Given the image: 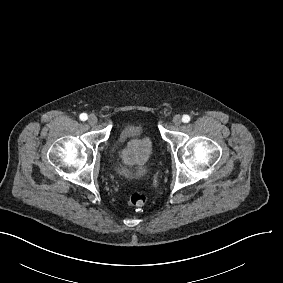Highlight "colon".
<instances>
[{
	"mask_svg": "<svg viewBox=\"0 0 283 283\" xmlns=\"http://www.w3.org/2000/svg\"><path fill=\"white\" fill-rule=\"evenodd\" d=\"M147 203V198L144 194L136 192L130 195V204L135 208H143Z\"/></svg>",
	"mask_w": 283,
	"mask_h": 283,
	"instance_id": "colon-1",
	"label": "colon"
}]
</instances>
